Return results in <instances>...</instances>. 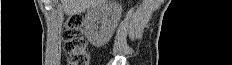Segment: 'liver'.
<instances>
[{
    "label": "liver",
    "mask_w": 232,
    "mask_h": 65,
    "mask_svg": "<svg viewBox=\"0 0 232 65\" xmlns=\"http://www.w3.org/2000/svg\"><path fill=\"white\" fill-rule=\"evenodd\" d=\"M101 1L102 0H61V4L64 12L72 16L85 12L101 3Z\"/></svg>",
    "instance_id": "liver-1"
}]
</instances>
